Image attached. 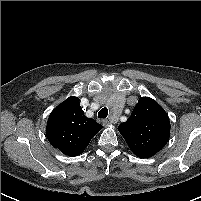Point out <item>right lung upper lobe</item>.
I'll return each mask as SVG.
<instances>
[{"label":"right lung upper lobe","mask_w":201,"mask_h":201,"mask_svg":"<svg viewBox=\"0 0 201 201\" xmlns=\"http://www.w3.org/2000/svg\"><path fill=\"white\" fill-rule=\"evenodd\" d=\"M101 129L102 125L84 115L79 98L72 96L51 112L46 135L51 145L63 154L77 156Z\"/></svg>","instance_id":"right-lung-upper-lobe-1"}]
</instances>
